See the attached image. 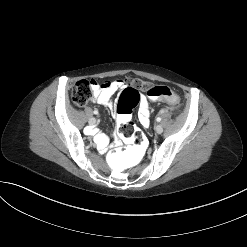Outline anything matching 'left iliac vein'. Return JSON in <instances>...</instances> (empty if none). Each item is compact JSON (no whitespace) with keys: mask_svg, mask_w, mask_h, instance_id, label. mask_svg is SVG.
<instances>
[{"mask_svg":"<svg viewBox=\"0 0 247 247\" xmlns=\"http://www.w3.org/2000/svg\"><path fill=\"white\" fill-rule=\"evenodd\" d=\"M155 131L158 133V134H161L163 132V127L161 125H156L155 126Z\"/></svg>","mask_w":247,"mask_h":247,"instance_id":"obj_1","label":"left iliac vein"}]
</instances>
